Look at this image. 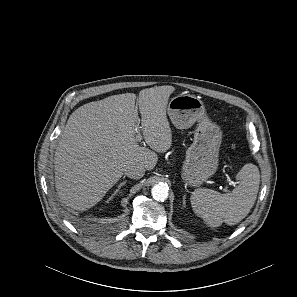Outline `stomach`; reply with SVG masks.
<instances>
[{
  "label": "stomach",
  "instance_id": "obj_1",
  "mask_svg": "<svg viewBox=\"0 0 297 297\" xmlns=\"http://www.w3.org/2000/svg\"><path fill=\"white\" fill-rule=\"evenodd\" d=\"M167 113L178 129L189 128L198 122L194 141L186 151L182 175L186 184L200 186L217 170L222 131L206 116L203 102L190 94L173 97Z\"/></svg>",
  "mask_w": 297,
  "mask_h": 297
}]
</instances>
